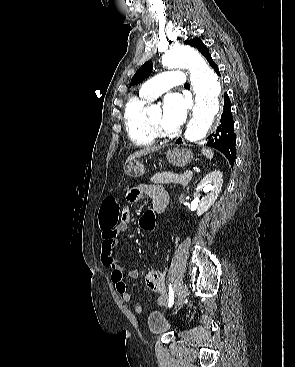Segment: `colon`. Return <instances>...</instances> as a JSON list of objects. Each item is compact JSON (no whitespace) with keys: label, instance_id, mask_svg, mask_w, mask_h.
Returning <instances> with one entry per match:
<instances>
[{"label":"colon","instance_id":"5ec220e1","mask_svg":"<svg viewBox=\"0 0 295 367\" xmlns=\"http://www.w3.org/2000/svg\"><path fill=\"white\" fill-rule=\"evenodd\" d=\"M150 210L153 212L155 209L152 207ZM121 216V205L119 200L114 196H109L102 204L99 214V225L102 228L114 227ZM154 225L155 218L153 213L147 212L141 217L138 229L139 231H151Z\"/></svg>","mask_w":295,"mask_h":367}]
</instances>
